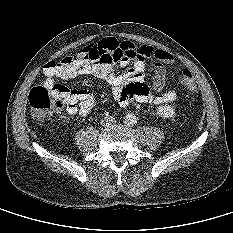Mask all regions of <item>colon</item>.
<instances>
[{"label":"colon","mask_w":233,"mask_h":233,"mask_svg":"<svg viewBox=\"0 0 233 233\" xmlns=\"http://www.w3.org/2000/svg\"><path fill=\"white\" fill-rule=\"evenodd\" d=\"M113 49V47L111 48ZM93 49L85 52L81 57L87 59V55ZM75 56H67L60 62L50 61L47 65L58 66L71 64L75 59ZM181 85L188 91H194L196 89V83L190 70L185 69L182 71L179 77ZM28 102L32 110L34 117L38 119H45L53 113L59 111L64 105V100L57 94L53 93L50 89L39 86L33 88L28 96Z\"/></svg>","instance_id":"5ec220e1"}]
</instances>
